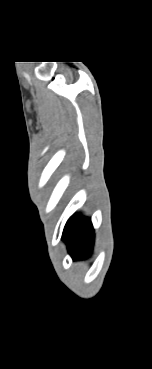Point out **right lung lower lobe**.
Segmentation results:
<instances>
[{
	"mask_svg": "<svg viewBox=\"0 0 152 369\" xmlns=\"http://www.w3.org/2000/svg\"><path fill=\"white\" fill-rule=\"evenodd\" d=\"M63 239L74 260L87 258L94 244V230L90 219L82 218L77 214L73 215L64 228Z\"/></svg>",
	"mask_w": 152,
	"mask_h": 369,
	"instance_id": "obj_1",
	"label": "right lung lower lobe"
}]
</instances>
